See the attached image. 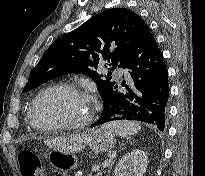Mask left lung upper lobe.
Listing matches in <instances>:
<instances>
[{"mask_svg": "<svg viewBox=\"0 0 205 176\" xmlns=\"http://www.w3.org/2000/svg\"><path fill=\"white\" fill-rule=\"evenodd\" d=\"M146 24L126 8L107 9L86 21L76 30L59 36L32 69L23 92L69 73H83L94 78L105 98L115 86L111 77L101 79L96 72L99 61L110 70L121 62ZM120 63V65H118Z\"/></svg>", "mask_w": 205, "mask_h": 176, "instance_id": "1", "label": "left lung upper lobe"}]
</instances>
